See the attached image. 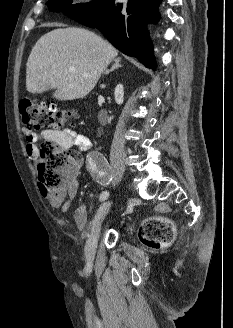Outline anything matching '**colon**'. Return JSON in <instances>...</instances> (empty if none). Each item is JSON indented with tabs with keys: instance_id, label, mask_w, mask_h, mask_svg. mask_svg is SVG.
<instances>
[{
	"instance_id": "colon-1",
	"label": "colon",
	"mask_w": 233,
	"mask_h": 328,
	"mask_svg": "<svg viewBox=\"0 0 233 328\" xmlns=\"http://www.w3.org/2000/svg\"><path fill=\"white\" fill-rule=\"evenodd\" d=\"M19 110L28 128L60 129L66 122L77 117L75 111H64L52 103L42 104L24 97L19 102ZM79 155L73 150L62 149L55 141L45 140L39 148L36 165L40 187L54 191L63 187L76 175ZM139 239L146 246L160 249L174 239L173 225L161 218H151L139 228Z\"/></svg>"
}]
</instances>
